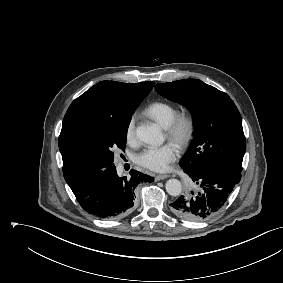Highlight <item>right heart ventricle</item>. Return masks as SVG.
I'll list each match as a JSON object with an SVG mask.
<instances>
[{"instance_id": "1", "label": "right heart ventricle", "mask_w": 283, "mask_h": 283, "mask_svg": "<svg viewBox=\"0 0 283 283\" xmlns=\"http://www.w3.org/2000/svg\"><path fill=\"white\" fill-rule=\"evenodd\" d=\"M145 114L163 128H168L178 115V109L169 102L156 101L147 106Z\"/></svg>"}]
</instances>
